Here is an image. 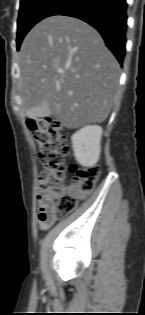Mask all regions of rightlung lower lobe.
I'll use <instances>...</instances> for the list:
<instances>
[{
  "label": "right lung lower lobe",
  "mask_w": 145,
  "mask_h": 315,
  "mask_svg": "<svg viewBox=\"0 0 145 315\" xmlns=\"http://www.w3.org/2000/svg\"><path fill=\"white\" fill-rule=\"evenodd\" d=\"M81 19L99 31L120 64L125 56L127 30L126 0H66L50 16Z\"/></svg>",
  "instance_id": "1"
}]
</instances>
